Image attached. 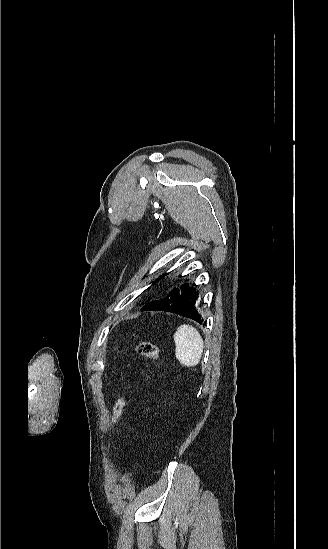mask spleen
Wrapping results in <instances>:
<instances>
[{"instance_id": "1", "label": "spleen", "mask_w": 328, "mask_h": 549, "mask_svg": "<svg viewBox=\"0 0 328 549\" xmlns=\"http://www.w3.org/2000/svg\"><path fill=\"white\" fill-rule=\"evenodd\" d=\"M175 355L184 367H196L200 363L204 341L192 325H181L173 335Z\"/></svg>"}]
</instances>
